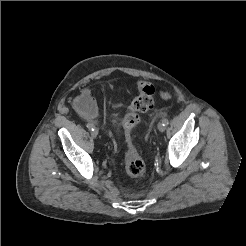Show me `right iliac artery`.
I'll list each match as a JSON object with an SVG mask.
<instances>
[{
  "mask_svg": "<svg viewBox=\"0 0 246 246\" xmlns=\"http://www.w3.org/2000/svg\"><path fill=\"white\" fill-rule=\"evenodd\" d=\"M87 128L89 129V130H94V128H95V126L93 125V124H91V123H88L87 124Z\"/></svg>",
  "mask_w": 246,
  "mask_h": 246,
  "instance_id": "right-iliac-artery-1",
  "label": "right iliac artery"
}]
</instances>
